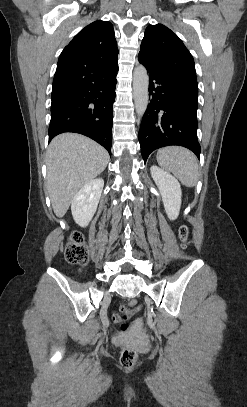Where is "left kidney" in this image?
<instances>
[{
	"label": "left kidney",
	"mask_w": 247,
	"mask_h": 407,
	"mask_svg": "<svg viewBox=\"0 0 247 407\" xmlns=\"http://www.w3.org/2000/svg\"><path fill=\"white\" fill-rule=\"evenodd\" d=\"M151 176L157 185L166 214L170 220L177 219L181 207V186L178 180L163 169L153 165Z\"/></svg>",
	"instance_id": "left-kidney-1"
}]
</instances>
